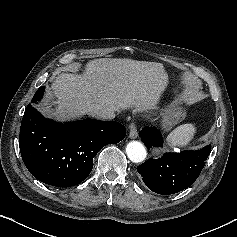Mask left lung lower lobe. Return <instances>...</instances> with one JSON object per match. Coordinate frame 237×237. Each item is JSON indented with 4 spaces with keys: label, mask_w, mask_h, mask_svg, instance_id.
<instances>
[{
    "label": "left lung lower lobe",
    "mask_w": 237,
    "mask_h": 237,
    "mask_svg": "<svg viewBox=\"0 0 237 237\" xmlns=\"http://www.w3.org/2000/svg\"><path fill=\"white\" fill-rule=\"evenodd\" d=\"M139 135L148 149L161 147L163 139L155 127H144ZM211 152V145L200 150L165 153L137 167L143 182L153 192L170 195L188 188L200 175Z\"/></svg>",
    "instance_id": "0a47b994"
}]
</instances>
